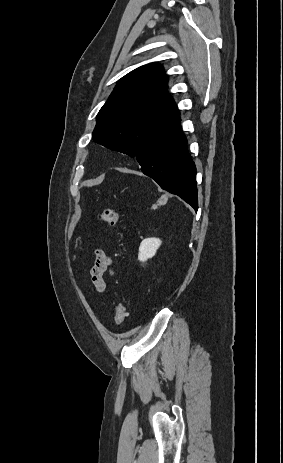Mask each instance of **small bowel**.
Here are the masks:
<instances>
[{
	"instance_id": "small-bowel-1",
	"label": "small bowel",
	"mask_w": 283,
	"mask_h": 463,
	"mask_svg": "<svg viewBox=\"0 0 283 463\" xmlns=\"http://www.w3.org/2000/svg\"><path fill=\"white\" fill-rule=\"evenodd\" d=\"M94 264L90 270V279L97 293L101 294L106 289L105 274L108 273L111 277L115 276V271L112 267V259L101 249L94 251Z\"/></svg>"
}]
</instances>
